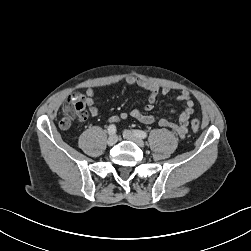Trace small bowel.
I'll use <instances>...</instances> for the list:
<instances>
[{
    "label": "small bowel",
    "instance_id": "c3829d8e",
    "mask_svg": "<svg viewBox=\"0 0 251 251\" xmlns=\"http://www.w3.org/2000/svg\"><path fill=\"white\" fill-rule=\"evenodd\" d=\"M124 80L128 85L137 86L148 91L149 96L147 103L145 104L143 110L133 109L130 112H122L120 115L109 117L108 121L115 123L131 117L144 124H153L154 122H156L155 116L150 114V112L154 109L159 97L168 95L171 90L167 87H160L154 83L139 79L131 75L127 76ZM176 98L178 101L184 103V110L179 115L178 123H174L168 118H160L158 120V125L164 128H170L176 134H178L179 137L184 138L188 132L189 120L194 113V102L189 92L185 90L181 91ZM84 102L91 116H97L98 109L95 106L94 91L92 89H87L86 95L84 97Z\"/></svg>",
    "mask_w": 251,
    "mask_h": 251
}]
</instances>
